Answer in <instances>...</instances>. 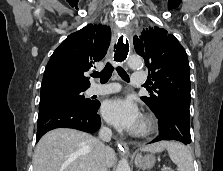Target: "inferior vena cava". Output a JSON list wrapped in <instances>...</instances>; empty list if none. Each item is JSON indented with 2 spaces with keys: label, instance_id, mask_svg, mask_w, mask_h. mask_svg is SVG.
Here are the masks:
<instances>
[{
  "label": "inferior vena cava",
  "instance_id": "obj_1",
  "mask_svg": "<svg viewBox=\"0 0 223 171\" xmlns=\"http://www.w3.org/2000/svg\"><path fill=\"white\" fill-rule=\"evenodd\" d=\"M112 131L108 127H101L99 130V140L96 145L94 153V162L92 165V171H108L106 159H105V146L104 142L111 140Z\"/></svg>",
  "mask_w": 223,
  "mask_h": 171
}]
</instances>
